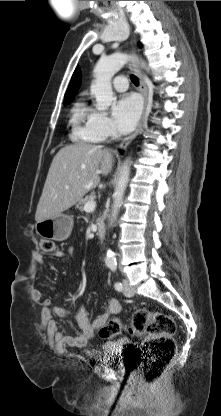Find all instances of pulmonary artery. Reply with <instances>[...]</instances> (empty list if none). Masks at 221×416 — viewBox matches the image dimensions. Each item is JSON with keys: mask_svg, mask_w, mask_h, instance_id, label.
<instances>
[{"mask_svg": "<svg viewBox=\"0 0 221 416\" xmlns=\"http://www.w3.org/2000/svg\"><path fill=\"white\" fill-rule=\"evenodd\" d=\"M112 88L118 92H124L128 88V81L124 76H117L112 82Z\"/></svg>", "mask_w": 221, "mask_h": 416, "instance_id": "e3ab8cb5", "label": "pulmonary artery"}]
</instances>
